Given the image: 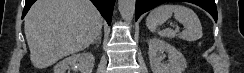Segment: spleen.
Returning <instances> with one entry per match:
<instances>
[{
  "mask_svg": "<svg viewBox=\"0 0 244 73\" xmlns=\"http://www.w3.org/2000/svg\"><path fill=\"white\" fill-rule=\"evenodd\" d=\"M183 24L184 30L175 33L171 28L157 31V27L165 23L170 17ZM146 26L152 32L166 38L179 37L188 42H194L203 36L201 22L197 14L183 5L163 4L153 9L146 19Z\"/></svg>",
  "mask_w": 244,
  "mask_h": 73,
  "instance_id": "spleen-1",
  "label": "spleen"
}]
</instances>
